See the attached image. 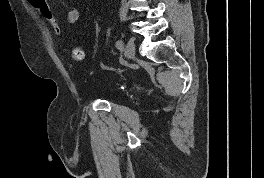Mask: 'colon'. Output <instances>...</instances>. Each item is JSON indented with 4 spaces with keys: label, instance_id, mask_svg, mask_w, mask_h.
<instances>
[{
    "label": "colon",
    "instance_id": "5ec220e1",
    "mask_svg": "<svg viewBox=\"0 0 264 178\" xmlns=\"http://www.w3.org/2000/svg\"><path fill=\"white\" fill-rule=\"evenodd\" d=\"M29 4L39 12L45 22L53 29L57 35H61L62 28L57 16L48 6L46 0H27ZM67 52L75 60L84 59L85 52L81 47L68 48Z\"/></svg>",
    "mask_w": 264,
    "mask_h": 178
}]
</instances>
